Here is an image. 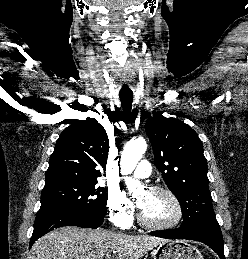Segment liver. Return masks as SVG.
<instances>
[{
    "label": "liver",
    "instance_id": "1",
    "mask_svg": "<svg viewBox=\"0 0 248 259\" xmlns=\"http://www.w3.org/2000/svg\"><path fill=\"white\" fill-rule=\"evenodd\" d=\"M164 242L155 236L65 226L39 238L29 259H139Z\"/></svg>",
    "mask_w": 248,
    "mask_h": 259
}]
</instances>
